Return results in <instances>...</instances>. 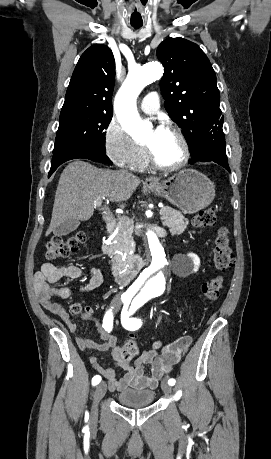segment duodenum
<instances>
[{
  "label": "duodenum",
  "instance_id": "obj_1",
  "mask_svg": "<svg viewBox=\"0 0 271 459\" xmlns=\"http://www.w3.org/2000/svg\"><path fill=\"white\" fill-rule=\"evenodd\" d=\"M114 227L115 220L113 218H108L106 220V230L111 232ZM142 266V260L140 258H134L125 270L114 274V281L120 286L128 285L141 270Z\"/></svg>",
  "mask_w": 271,
  "mask_h": 459
}]
</instances>
